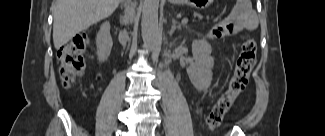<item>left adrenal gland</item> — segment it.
<instances>
[{"label": "left adrenal gland", "instance_id": "obj_1", "mask_svg": "<svg viewBox=\"0 0 325 136\" xmlns=\"http://www.w3.org/2000/svg\"><path fill=\"white\" fill-rule=\"evenodd\" d=\"M176 29H181V24H177V21L175 19L172 20V27H171V30H170V36H172V34L174 33V31Z\"/></svg>", "mask_w": 325, "mask_h": 136}]
</instances>
